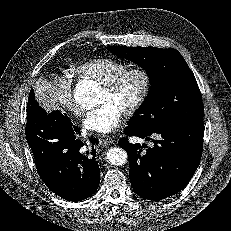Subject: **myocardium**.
Returning <instances> with one entry per match:
<instances>
[{
  "label": "myocardium",
  "mask_w": 231,
  "mask_h": 231,
  "mask_svg": "<svg viewBox=\"0 0 231 231\" xmlns=\"http://www.w3.org/2000/svg\"><path fill=\"white\" fill-rule=\"evenodd\" d=\"M131 74H137L141 77L142 86L138 95L124 109L123 112L125 115H132L133 113H135L148 97L152 86V77L149 71L142 66L128 67L122 70L121 72H119L108 82L102 84L103 89H105L107 92L115 93L120 87L121 83L124 81V79Z\"/></svg>",
  "instance_id": "f54148a6"
}]
</instances>
